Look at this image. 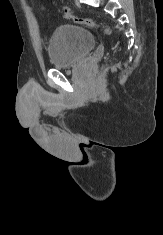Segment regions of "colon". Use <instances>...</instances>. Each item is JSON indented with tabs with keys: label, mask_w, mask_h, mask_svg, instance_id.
I'll list each match as a JSON object with an SVG mask.
<instances>
[{
	"label": "colon",
	"mask_w": 163,
	"mask_h": 235,
	"mask_svg": "<svg viewBox=\"0 0 163 235\" xmlns=\"http://www.w3.org/2000/svg\"><path fill=\"white\" fill-rule=\"evenodd\" d=\"M64 16L65 18L72 20L76 23L79 24H85L91 27H95V28H101L106 34H110L111 30L108 26L106 25H102V24H98L95 21H93L92 19L89 18H85L83 16H80L76 13H74L73 11L69 10V9H64L63 10Z\"/></svg>",
	"instance_id": "1"
}]
</instances>
